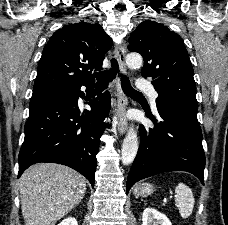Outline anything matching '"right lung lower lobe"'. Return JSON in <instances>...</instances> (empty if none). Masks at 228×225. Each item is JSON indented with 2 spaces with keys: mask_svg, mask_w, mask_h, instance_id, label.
I'll use <instances>...</instances> for the list:
<instances>
[{
  "mask_svg": "<svg viewBox=\"0 0 228 225\" xmlns=\"http://www.w3.org/2000/svg\"><path fill=\"white\" fill-rule=\"evenodd\" d=\"M90 91L94 83L86 84ZM80 87L33 97L25 124V139L19 152L18 177L38 162L59 163L84 175L94 187L96 154L110 110V94L104 92L80 113Z\"/></svg>",
  "mask_w": 228,
  "mask_h": 225,
  "instance_id": "98d812e1",
  "label": "right lung lower lobe"
}]
</instances>
